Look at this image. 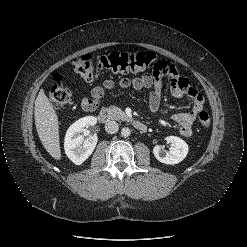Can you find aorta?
Returning a JSON list of instances; mask_svg holds the SVG:
<instances>
[{
  "instance_id": "1",
  "label": "aorta",
  "mask_w": 247,
  "mask_h": 247,
  "mask_svg": "<svg viewBox=\"0 0 247 247\" xmlns=\"http://www.w3.org/2000/svg\"><path fill=\"white\" fill-rule=\"evenodd\" d=\"M130 133H131V131H130V129L128 127H124L121 130V135L123 137H128L130 135Z\"/></svg>"
}]
</instances>
